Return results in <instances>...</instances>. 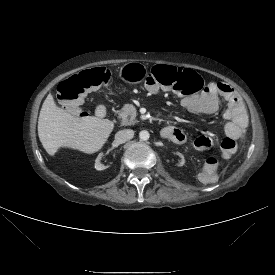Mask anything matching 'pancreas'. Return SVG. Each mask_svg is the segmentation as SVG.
I'll return each instance as SVG.
<instances>
[{
    "instance_id": "cf45deb5",
    "label": "pancreas",
    "mask_w": 275,
    "mask_h": 275,
    "mask_svg": "<svg viewBox=\"0 0 275 275\" xmlns=\"http://www.w3.org/2000/svg\"><path fill=\"white\" fill-rule=\"evenodd\" d=\"M137 110L132 104H125L119 111L118 117L121 119L122 125H134L136 121Z\"/></svg>"
}]
</instances>
